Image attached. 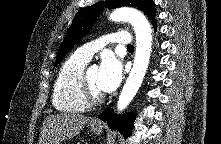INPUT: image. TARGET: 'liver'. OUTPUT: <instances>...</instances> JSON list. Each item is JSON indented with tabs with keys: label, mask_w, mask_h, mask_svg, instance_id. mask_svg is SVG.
<instances>
[{
	"label": "liver",
	"mask_w": 221,
	"mask_h": 144,
	"mask_svg": "<svg viewBox=\"0 0 221 144\" xmlns=\"http://www.w3.org/2000/svg\"><path fill=\"white\" fill-rule=\"evenodd\" d=\"M88 121V117L78 113L49 115L43 122L39 144H60L72 139Z\"/></svg>",
	"instance_id": "liver-1"
}]
</instances>
